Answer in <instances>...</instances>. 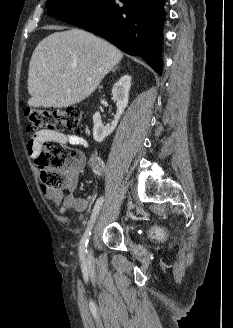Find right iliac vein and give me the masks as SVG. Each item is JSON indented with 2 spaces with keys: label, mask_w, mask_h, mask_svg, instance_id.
<instances>
[{
  "label": "right iliac vein",
  "mask_w": 233,
  "mask_h": 328,
  "mask_svg": "<svg viewBox=\"0 0 233 328\" xmlns=\"http://www.w3.org/2000/svg\"><path fill=\"white\" fill-rule=\"evenodd\" d=\"M86 260H87V263H88V264H91V263H92V261H93V256H92V251H91V250L89 251Z\"/></svg>",
  "instance_id": "63e3f726"
}]
</instances>
